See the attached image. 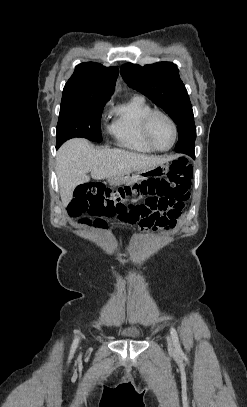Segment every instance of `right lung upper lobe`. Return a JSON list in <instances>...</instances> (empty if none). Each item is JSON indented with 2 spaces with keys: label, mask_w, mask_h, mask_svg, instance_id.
<instances>
[{
  "label": "right lung upper lobe",
  "mask_w": 247,
  "mask_h": 407,
  "mask_svg": "<svg viewBox=\"0 0 247 407\" xmlns=\"http://www.w3.org/2000/svg\"><path fill=\"white\" fill-rule=\"evenodd\" d=\"M119 70L88 62L76 67L65 84L62 102H86L109 100L114 92Z\"/></svg>",
  "instance_id": "cb5924a9"
}]
</instances>
